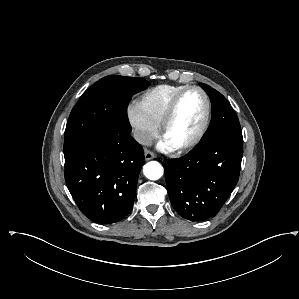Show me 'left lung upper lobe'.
<instances>
[{
	"instance_id": "obj_1",
	"label": "left lung upper lobe",
	"mask_w": 299,
	"mask_h": 299,
	"mask_svg": "<svg viewBox=\"0 0 299 299\" xmlns=\"http://www.w3.org/2000/svg\"><path fill=\"white\" fill-rule=\"evenodd\" d=\"M199 85L207 92L212 104L211 122L201 141L218 136L242 138L238 117L227 99L212 87L203 83Z\"/></svg>"
}]
</instances>
